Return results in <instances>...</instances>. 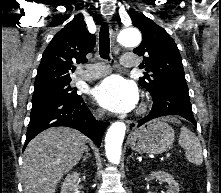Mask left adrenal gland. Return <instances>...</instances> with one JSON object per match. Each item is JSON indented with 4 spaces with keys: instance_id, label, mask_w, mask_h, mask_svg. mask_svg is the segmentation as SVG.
<instances>
[{
    "instance_id": "a2214340",
    "label": "left adrenal gland",
    "mask_w": 221,
    "mask_h": 193,
    "mask_svg": "<svg viewBox=\"0 0 221 193\" xmlns=\"http://www.w3.org/2000/svg\"><path fill=\"white\" fill-rule=\"evenodd\" d=\"M129 157L132 158V160H134L133 153Z\"/></svg>"
}]
</instances>
